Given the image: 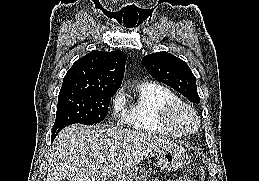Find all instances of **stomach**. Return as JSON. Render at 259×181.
<instances>
[{
    "label": "stomach",
    "mask_w": 259,
    "mask_h": 181,
    "mask_svg": "<svg viewBox=\"0 0 259 181\" xmlns=\"http://www.w3.org/2000/svg\"><path fill=\"white\" fill-rule=\"evenodd\" d=\"M154 165L160 170L175 171L184 166L190 159L186 150L177 145L172 144L167 149L156 152ZM149 171L141 166H136L122 176L115 177L111 181H147Z\"/></svg>",
    "instance_id": "0dacf381"
}]
</instances>
